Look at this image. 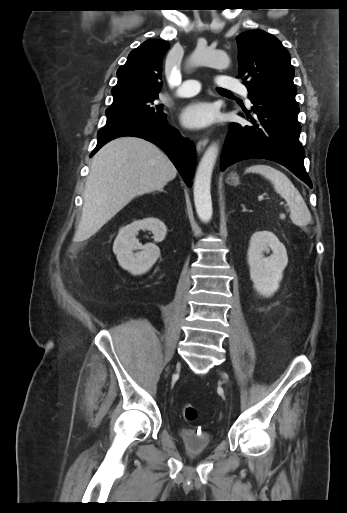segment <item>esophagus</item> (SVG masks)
Returning <instances> with one entry per match:
<instances>
[{
    "label": "esophagus",
    "mask_w": 347,
    "mask_h": 513,
    "mask_svg": "<svg viewBox=\"0 0 347 513\" xmlns=\"http://www.w3.org/2000/svg\"><path fill=\"white\" fill-rule=\"evenodd\" d=\"M209 142V139L207 137L199 140L196 144V150L198 153H201L203 152V150L205 149L206 145L208 144Z\"/></svg>",
    "instance_id": "1"
}]
</instances>
